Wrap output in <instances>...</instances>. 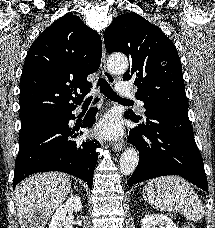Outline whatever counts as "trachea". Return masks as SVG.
<instances>
[{"label": "trachea", "instance_id": "trachea-1", "mask_svg": "<svg viewBox=\"0 0 215 228\" xmlns=\"http://www.w3.org/2000/svg\"><path fill=\"white\" fill-rule=\"evenodd\" d=\"M97 86L100 87L101 93H103V95H105L107 98H110V100L118 101L119 103L128 105H133L134 103L132 100H126V98L119 97V95L113 91L109 83L104 80V78H99ZM91 100L92 96H89V98H87L84 103H90Z\"/></svg>", "mask_w": 215, "mask_h": 228}]
</instances>
